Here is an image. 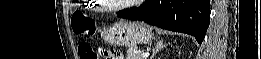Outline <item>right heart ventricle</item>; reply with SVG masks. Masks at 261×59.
Returning a JSON list of instances; mask_svg holds the SVG:
<instances>
[{"mask_svg": "<svg viewBox=\"0 0 261 59\" xmlns=\"http://www.w3.org/2000/svg\"><path fill=\"white\" fill-rule=\"evenodd\" d=\"M91 8H92V9H97V7H94V6H93V7H91Z\"/></svg>", "mask_w": 261, "mask_h": 59, "instance_id": "e07e8e85", "label": "right heart ventricle"}]
</instances>
